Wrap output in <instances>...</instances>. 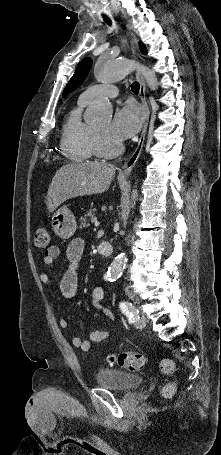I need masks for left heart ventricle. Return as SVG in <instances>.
Here are the masks:
<instances>
[{
	"label": "left heart ventricle",
	"instance_id": "1",
	"mask_svg": "<svg viewBox=\"0 0 221 455\" xmlns=\"http://www.w3.org/2000/svg\"><path fill=\"white\" fill-rule=\"evenodd\" d=\"M110 124H111L110 120H105V121L101 122L100 124L94 126V128L99 132V134L101 135L103 141L107 145H112V144L118 142L116 139H114L110 135V132H109Z\"/></svg>",
	"mask_w": 221,
	"mask_h": 455
}]
</instances>
